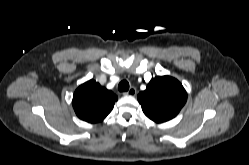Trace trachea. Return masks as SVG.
Here are the masks:
<instances>
[{
    "instance_id": "3493384b",
    "label": "trachea",
    "mask_w": 249,
    "mask_h": 165,
    "mask_svg": "<svg viewBox=\"0 0 249 165\" xmlns=\"http://www.w3.org/2000/svg\"><path fill=\"white\" fill-rule=\"evenodd\" d=\"M118 90L120 92H126V91H128L129 90V83H128V81L127 80L121 81L119 83V85H118Z\"/></svg>"
}]
</instances>
